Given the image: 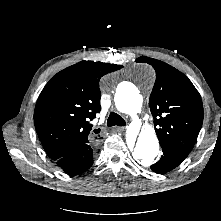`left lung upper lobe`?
Listing matches in <instances>:
<instances>
[{"label":"left lung upper lobe","mask_w":221,"mask_h":221,"mask_svg":"<svg viewBox=\"0 0 221 221\" xmlns=\"http://www.w3.org/2000/svg\"><path fill=\"white\" fill-rule=\"evenodd\" d=\"M136 62L148 63L156 71L150 95V110L161 146L190 152L203 122V104L192 82L174 67L149 57Z\"/></svg>","instance_id":"obj_1"}]
</instances>
